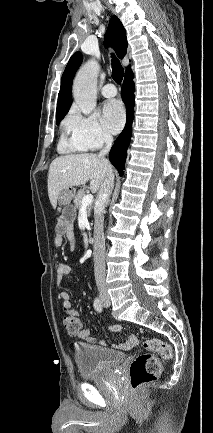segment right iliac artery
<instances>
[{
  "instance_id": "1",
  "label": "right iliac artery",
  "mask_w": 213,
  "mask_h": 433,
  "mask_svg": "<svg viewBox=\"0 0 213 433\" xmlns=\"http://www.w3.org/2000/svg\"><path fill=\"white\" fill-rule=\"evenodd\" d=\"M94 308L97 312H102L103 308H102V302L101 300L97 297L94 300Z\"/></svg>"
}]
</instances>
